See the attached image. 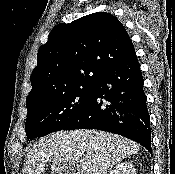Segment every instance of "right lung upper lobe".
<instances>
[{
  "mask_svg": "<svg viewBox=\"0 0 175 174\" xmlns=\"http://www.w3.org/2000/svg\"><path fill=\"white\" fill-rule=\"evenodd\" d=\"M134 54L126 29L110 13L58 24L38 51L26 106L63 91L94 86L107 70Z\"/></svg>",
  "mask_w": 175,
  "mask_h": 174,
  "instance_id": "obj_1",
  "label": "right lung upper lobe"
}]
</instances>
